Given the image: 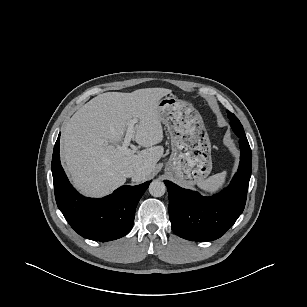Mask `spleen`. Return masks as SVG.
<instances>
[{
  "label": "spleen",
  "instance_id": "spleen-1",
  "mask_svg": "<svg viewBox=\"0 0 307 307\" xmlns=\"http://www.w3.org/2000/svg\"><path fill=\"white\" fill-rule=\"evenodd\" d=\"M227 172L223 171L221 173L210 176L209 178L203 180L198 184L199 188L206 193H215L222 188L225 183Z\"/></svg>",
  "mask_w": 307,
  "mask_h": 307
}]
</instances>
